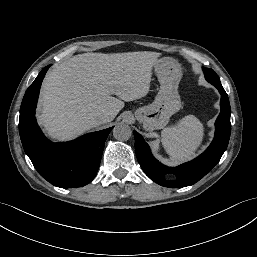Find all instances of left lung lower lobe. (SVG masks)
I'll list each match as a JSON object with an SVG mask.
<instances>
[{
  "instance_id": "left-lung-lower-lobe-1",
  "label": "left lung lower lobe",
  "mask_w": 257,
  "mask_h": 257,
  "mask_svg": "<svg viewBox=\"0 0 257 257\" xmlns=\"http://www.w3.org/2000/svg\"><path fill=\"white\" fill-rule=\"evenodd\" d=\"M215 87L221 94V112L215 122V137L208 149L196 159L175 168H168L152 156L150 148L143 137L138 132H133L138 162L146 175L154 182L170 188L190 186L204 177L219 162L228 146L230 138L231 109L228 96L222 85ZM167 173L175 174L177 179L174 181L165 180L164 175Z\"/></svg>"
}]
</instances>
